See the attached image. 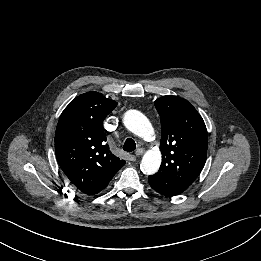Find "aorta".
Segmentation results:
<instances>
[{
	"instance_id": "aorta-1",
	"label": "aorta",
	"mask_w": 261,
	"mask_h": 261,
	"mask_svg": "<svg viewBox=\"0 0 261 261\" xmlns=\"http://www.w3.org/2000/svg\"><path fill=\"white\" fill-rule=\"evenodd\" d=\"M126 128L135 135L150 140L153 136V127L148 118L137 110H129L124 115ZM162 155L159 149L147 151L141 161L140 168L144 174H155L161 165Z\"/></svg>"
}]
</instances>
